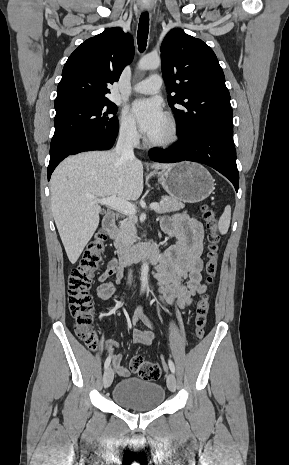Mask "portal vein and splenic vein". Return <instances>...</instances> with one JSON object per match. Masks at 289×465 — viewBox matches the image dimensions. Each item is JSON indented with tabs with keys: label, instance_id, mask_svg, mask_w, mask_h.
<instances>
[{
	"label": "portal vein and splenic vein",
	"instance_id": "1",
	"mask_svg": "<svg viewBox=\"0 0 289 465\" xmlns=\"http://www.w3.org/2000/svg\"><path fill=\"white\" fill-rule=\"evenodd\" d=\"M97 202L101 205H105L110 208L124 212L130 216H134L136 213V208L133 204H131L130 202L124 199L118 198L115 195H112L106 198L97 199ZM158 208H159L158 203L154 202L150 204V209L156 210Z\"/></svg>",
	"mask_w": 289,
	"mask_h": 465
}]
</instances>
